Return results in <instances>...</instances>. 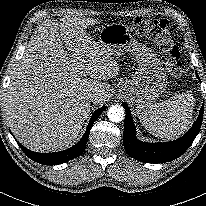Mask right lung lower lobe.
<instances>
[{"mask_svg": "<svg viewBox=\"0 0 206 206\" xmlns=\"http://www.w3.org/2000/svg\"><path fill=\"white\" fill-rule=\"evenodd\" d=\"M105 108L106 107L103 106L97 109L93 113L83 137L80 139V141L77 144H75L74 146H72L71 148L67 150L60 151V152H54V153H38V152H33L25 148L19 142L17 143L19 147L23 150V152L35 162H38L43 165H58V164L65 163L69 160H72L80 156L81 153L84 151L87 141H88L90 129L92 125L94 124V122L96 121V119L99 117V115L105 110Z\"/></svg>", "mask_w": 206, "mask_h": 206, "instance_id": "1", "label": "right lung lower lobe"}]
</instances>
